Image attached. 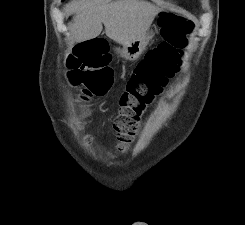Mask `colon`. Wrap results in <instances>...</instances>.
Wrapping results in <instances>:
<instances>
[{"mask_svg":"<svg viewBox=\"0 0 245 225\" xmlns=\"http://www.w3.org/2000/svg\"><path fill=\"white\" fill-rule=\"evenodd\" d=\"M158 23L162 42L135 65L120 97L121 106L113 125L120 150L128 149L135 140L147 108L180 70V56L193 28L190 21L171 11L161 12ZM110 61L106 43L99 39L81 40L69 54L66 76L72 84L85 85L82 101L108 93L114 80Z\"/></svg>","mask_w":245,"mask_h":225,"instance_id":"5ec220e1","label":"colon"}]
</instances>
